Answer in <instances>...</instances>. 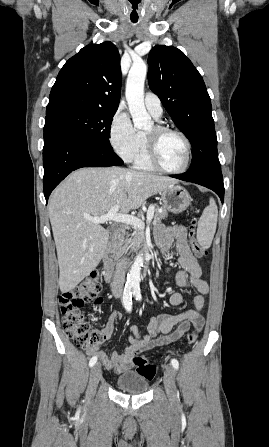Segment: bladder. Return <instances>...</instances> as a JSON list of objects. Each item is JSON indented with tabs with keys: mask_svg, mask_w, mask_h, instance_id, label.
Wrapping results in <instances>:
<instances>
[{
	"mask_svg": "<svg viewBox=\"0 0 269 447\" xmlns=\"http://www.w3.org/2000/svg\"><path fill=\"white\" fill-rule=\"evenodd\" d=\"M114 385L118 392H126L133 395H143L150 388V382L146 374L139 371H126L117 375Z\"/></svg>",
	"mask_w": 269,
	"mask_h": 447,
	"instance_id": "31cf9c89",
	"label": "bladder"
}]
</instances>
